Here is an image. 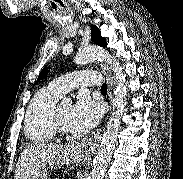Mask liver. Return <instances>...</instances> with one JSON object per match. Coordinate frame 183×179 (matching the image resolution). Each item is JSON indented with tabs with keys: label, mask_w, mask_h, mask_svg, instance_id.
I'll use <instances>...</instances> for the list:
<instances>
[{
	"label": "liver",
	"mask_w": 183,
	"mask_h": 179,
	"mask_svg": "<svg viewBox=\"0 0 183 179\" xmlns=\"http://www.w3.org/2000/svg\"><path fill=\"white\" fill-rule=\"evenodd\" d=\"M64 149L63 145L43 143L28 146L20 155L14 179H30L52 162Z\"/></svg>",
	"instance_id": "6515ba94"
}]
</instances>
